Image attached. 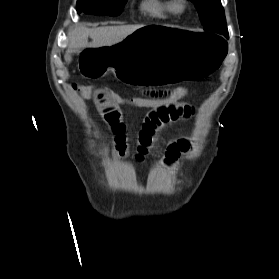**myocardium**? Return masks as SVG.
I'll return each mask as SVG.
<instances>
[{
  "mask_svg": "<svg viewBox=\"0 0 279 279\" xmlns=\"http://www.w3.org/2000/svg\"><path fill=\"white\" fill-rule=\"evenodd\" d=\"M188 8V2L186 0H176L174 2V10L178 13H183Z\"/></svg>",
  "mask_w": 279,
  "mask_h": 279,
  "instance_id": "obj_1",
  "label": "myocardium"
}]
</instances>
